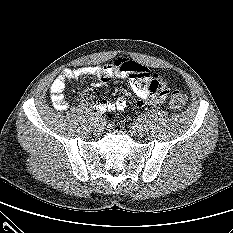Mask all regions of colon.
Here are the masks:
<instances>
[{"mask_svg": "<svg viewBox=\"0 0 233 233\" xmlns=\"http://www.w3.org/2000/svg\"><path fill=\"white\" fill-rule=\"evenodd\" d=\"M132 77L136 79L145 80L151 77V72L145 67L135 66L132 71ZM185 104V94L178 89H174L170 95V108L174 111H181L184 108Z\"/></svg>", "mask_w": 233, "mask_h": 233, "instance_id": "colon-1", "label": "colon"}]
</instances>
